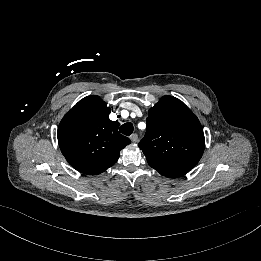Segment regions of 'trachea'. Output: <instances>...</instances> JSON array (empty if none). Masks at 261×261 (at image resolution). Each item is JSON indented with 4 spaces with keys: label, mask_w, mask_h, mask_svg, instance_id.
Wrapping results in <instances>:
<instances>
[{
    "label": "trachea",
    "mask_w": 261,
    "mask_h": 261,
    "mask_svg": "<svg viewBox=\"0 0 261 261\" xmlns=\"http://www.w3.org/2000/svg\"><path fill=\"white\" fill-rule=\"evenodd\" d=\"M133 130H134V126H133V124H132L131 122H126V123H124V124L120 127V129H119V131H120L122 134L127 135V136L131 135V134L133 133Z\"/></svg>",
    "instance_id": "3493384b"
}]
</instances>
